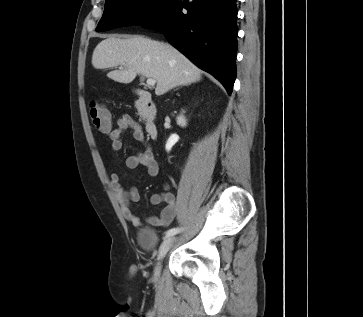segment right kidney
Segmentation results:
<instances>
[{"instance_id":"right-kidney-1","label":"right kidney","mask_w":363,"mask_h":317,"mask_svg":"<svg viewBox=\"0 0 363 317\" xmlns=\"http://www.w3.org/2000/svg\"><path fill=\"white\" fill-rule=\"evenodd\" d=\"M177 124L181 127L186 126L187 122H186L185 117L182 114L177 117Z\"/></svg>"}]
</instances>
